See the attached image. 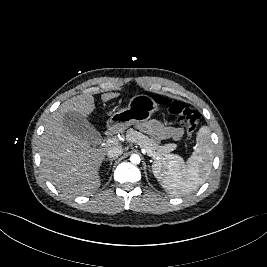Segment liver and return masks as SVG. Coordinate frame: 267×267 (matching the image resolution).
Listing matches in <instances>:
<instances>
[{"label": "liver", "mask_w": 267, "mask_h": 267, "mask_svg": "<svg viewBox=\"0 0 267 267\" xmlns=\"http://www.w3.org/2000/svg\"><path fill=\"white\" fill-rule=\"evenodd\" d=\"M118 96L119 93H105L101 95V99L107 102ZM94 110L92 95L75 96L62 103L45 125L39 149L42 170L46 178L64 194L88 195L99 188L101 164L108 149L116 145L93 148L89 141L75 136L65 128V113L75 111L87 117Z\"/></svg>", "instance_id": "6515ba94"}]
</instances>
